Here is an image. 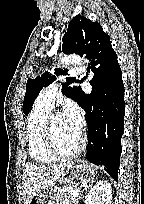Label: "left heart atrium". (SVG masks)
Wrapping results in <instances>:
<instances>
[{
  "mask_svg": "<svg viewBox=\"0 0 144 204\" xmlns=\"http://www.w3.org/2000/svg\"><path fill=\"white\" fill-rule=\"evenodd\" d=\"M63 118L70 127V129L80 136L82 129V116L79 107L75 103H68L65 106Z\"/></svg>",
  "mask_w": 144,
  "mask_h": 204,
  "instance_id": "left-heart-atrium-1",
  "label": "left heart atrium"
}]
</instances>
